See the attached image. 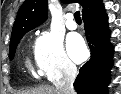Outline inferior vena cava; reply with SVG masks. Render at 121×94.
Wrapping results in <instances>:
<instances>
[{"mask_svg": "<svg viewBox=\"0 0 121 94\" xmlns=\"http://www.w3.org/2000/svg\"><path fill=\"white\" fill-rule=\"evenodd\" d=\"M76 76V66L73 63L68 62L64 67V78L59 84L56 85V88L60 94H75L73 83Z\"/></svg>", "mask_w": 121, "mask_h": 94, "instance_id": "obj_1", "label": "inferior vena cava"}]
</instances>
